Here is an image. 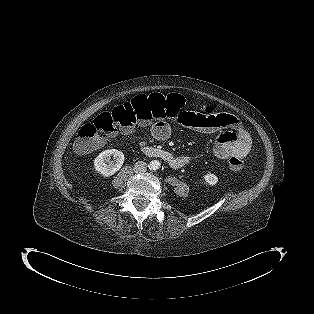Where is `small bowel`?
<instances>
[{
	"label": "small bowel",
	"instance_id": "small-bowel-1",
	"mask_svg": "<svg viewBox=\"0 0 314 314\" xmlns=\"http://www.w3.org/2000/svg\"><path fill=\"white\" fill-rule=\"evenodd\" d=\"M179 126L202 132L211 133L221 131L214 144V156L219 160H230L233 157H246L252 147L250 133L243 127L239 119L229 113L219 112L212 106H200L194 110L186 108L179 111L175 117ZM151 135L157 140H166L172 133L169 123L159 121L150 129ZM172 165L180 168L186 165L190 158L178 156Z\"/></svg>",
	"mask_w": 314,
	"mask_h": 314
}]
</instances>
